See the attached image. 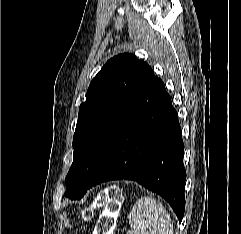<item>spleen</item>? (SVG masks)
Returning <instances> with one entry per match:
<instances>
[{
  "instance_id": "1",
  "label": "spleen",
  "mask_w": 241,
  "mask_h": 234,
  "mask_svg": "<svg viewBox=\"0 0 241 234\" xmlns=\"http://www.w3.org/2000/svg\"><path fill=\"white\" fill-rule=\"evenodd\" d=\"M128 219L130 230L127 234H174L170 214L153 197L137 200Z\"/></svg>"
}]
</instances>
